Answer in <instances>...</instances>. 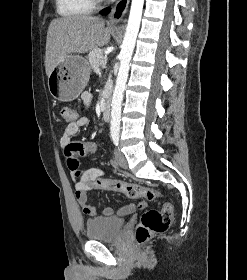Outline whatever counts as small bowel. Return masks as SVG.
<instances>
[{"instance_id": "1", "label": "small bowel", "mask_w": 247, "mask_h": 280, "mask_svg": "<svg viewBox=\"0 0 247 280\" xmlns=\"http://www.w3.org/2000/svg\"><path fill=\"white\" fill-rule=\"evenodd\" d=\"M83 100L86 103H89L91 100V95L89 93L83 94ZM89 124V118L85 115L80 116L78 120L73 124H68L65 128L63 135L60 139V143L63 149L66 151L68 145L72 142V138L80 131L82 127H85ZM104 176L103 171L99 169H90L83 173V175L76 180L75 184V196L81 207L82 212L87 216H96L97 210L95 207L89 204V196L88 192L91 190H87L83 186V181L85 179L95 178ZM103 189V188H93L92 190ZM145 203L140 202L138 205L135 204H127L119 210V215H126L133 212L136 208H144ZM113 209L111 207H106L103 209V215L110 217L113 215Z\"/></svg>"}]
</instances>
